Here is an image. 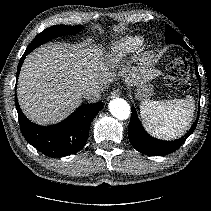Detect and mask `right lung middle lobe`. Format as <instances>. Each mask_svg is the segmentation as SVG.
Segmentation results:
<instances>
[{
  "instance_id": "dd1d6c3e",
  "label": "right lung middle lobe",
  "mask_w": 211,
  "mask_h": 211,
  "mask_svg": "<svg viewBox=\"0 0 211 211\" xmlns=\"http://www.w3.org/2000/svg\"><path fill=\"white\" fill-rule=\"evenodd\" d=\"M82 29H83V26L56 25V26L49 27L34 38V40L27 47L26 52L30 53L38 46L50 41L51 39L55 37L74 34L81 31Z\"/></svg>"
}]
</instances>
